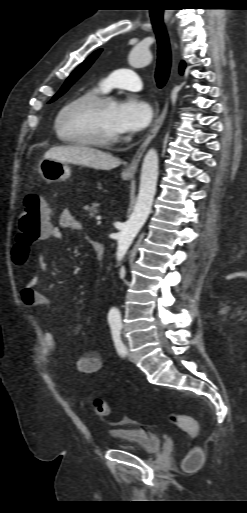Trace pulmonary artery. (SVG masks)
<instances>
[{"label":"pulmonary artery","instance_id":"obj_1","mask_svg":"<svg viewBox=\"0 0 247 513\" xmlns=\"http://www.w3.org/2000/svg\"><path fill=\"white\" fill-rule=\"evenodd\" d=\"M103 90L108 91L113 88H122L132 91H139L143 84L138 74L132 69H118L111 72L101 81Z\"/></svg>","mask_w":247,"mask_h":513}]
</instances>
